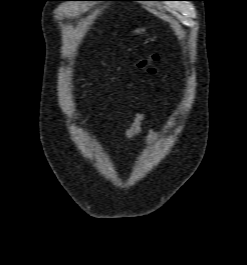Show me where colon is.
<instances>
[{"instance_id":"obj_1","label":"colon","mask_w":247,"mask_h":265,"mask_svg":"<svg viewBox=\"0 0 247 265\" xmlns=\"http://www.w3.org/2000/svg\"><path fill=\"white\" fill-rule=\"evenodd\" d=\"M159 57L156 54H153L151 57L141 60L138 63V66L140 68H144L146 69L148 72L150 73H154L155 72V63L158 61Z\"/></svg>"}]
</instances>
